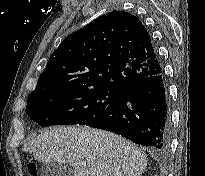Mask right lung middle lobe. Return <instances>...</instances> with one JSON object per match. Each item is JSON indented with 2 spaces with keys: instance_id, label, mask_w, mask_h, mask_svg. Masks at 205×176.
Returning <instances> with one entry per match:
<instances>
[{
  "instance_id": "right-lung-middle-lobe-1",
  "label": "right lung middle lobe",
  "mask_w": 205,
  "mask_h": 176,
  "mask_svg": "<svg viewBox=\"0 0 205 176\" xmlns=\"http://www.w3.org/2000/svg\"><path fill=\"white\" fill-rule=\"evenodd\" d=\"M121 91L108 87L63 89L28 97L26 112L41 127L86 125L100 116Z\"/></svg>"
}]
</instances>
